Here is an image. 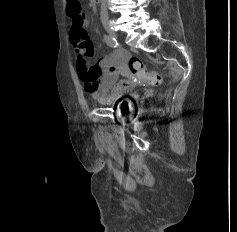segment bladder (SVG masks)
<instances>
[{
    "mask_svg": "<svg viewBox=\"0 0 237 232\" xmlns=\"http://www.w3.org/2000/svg\"><path fill=\"white\" fill-rule=\"evenodd\" d=\"M116 107L122 112H131L134 110V101L132 99H123L116 103Z\"/></svg>",
    "mask_w": 237,
    "mask_h": 232,
    "instance_id": "31cf9c89",
    "label": "bladder"
}]
</instances>
